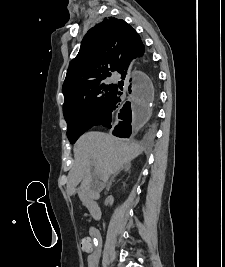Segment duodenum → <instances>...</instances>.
Returning a JSON list of instances; mask_svg holds the SVG:
<instances>
[{
    "instance_id": "duodenum-1",
    "label": "duodenum",
    "mask_w": 225,
    "mask_h": 267,
    "mask_svg": "<svg viewBox=\"0 0 225 267\" xmlns=\"http://www.w3.org/2000/svg\"><path fill=\"white\" fill-rule=\"evenodd\" d=\"M84 196L87 197L86 204H87V208H88L91 216L94 219H99L101 216V211H100V207H99L98 203L95 201V199H96L95 195L87 196V194H86Z\"/></svg>"
}]
</instances>
